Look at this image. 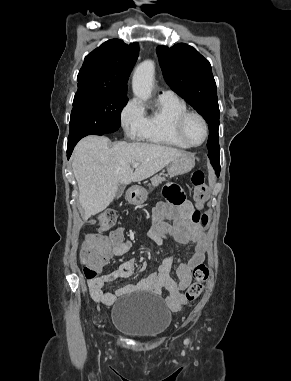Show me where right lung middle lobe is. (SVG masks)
<instances>
[{
    "label": "right lung middle lobe",
    "instance_id": "dd1d6c3e",
    "mask_svg": "<svg viewBox=\"0 0 291 381\" xmlns=\"http://www.w3.org/2000/svg\"><path fill=\"white\" fill-rule=\"evenodd\" d=\"M127 97L105 90H77L70 118L68 142H78L87 135L113 133L121 125L120 114Z\"/></svg>",
    "mask_w": 291,
    "mask_h": 381
}]
</instances>
